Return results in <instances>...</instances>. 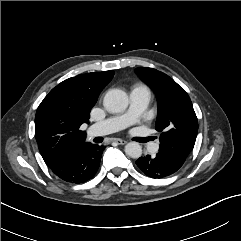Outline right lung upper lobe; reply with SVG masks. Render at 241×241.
<instances>
[{
    "mask_svg": "<svg viewBox=\"0 0 241 241\" xmlns=\"http://www.w3.org/2000/svg\"><path fill=\"white\" fill-rule=\"evenodd\" d=\"M113 75L111 70L80 74L64 80L44 98L35 116V138L45 162L67 146L85 143L80 126L88 123L91 108Z\"/></svg>",
    "mask_w": 241,
    "mask_h": 241,
    "instance_id": "cb5924a9",
    "label": "right lung upper lobe"
}]
</instances>
